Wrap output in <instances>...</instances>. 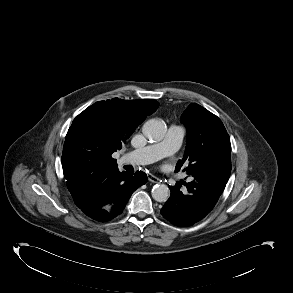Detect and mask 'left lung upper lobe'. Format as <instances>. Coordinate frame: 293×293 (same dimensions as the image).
<instances>
[{
    "mask_svg": "<svg viewBox=\"0 0 293 293\" xmlns=\"http://www.w3.org/2000/svg\"><path fill=\"white\" fill-rule=\"evenodd\" d=\"M187 126V147L176 169L180 170L186 160L185 170L195 177L210 176L212 179L228 181L231 173V144L221 120L207 109L190 104L181 116Z\"/></svg>",
    "mask_w": 293,
    "mask_h": 293,
    "instance_id": "5c2ea615",
    "label": "left lung upper lobe"
}]
</instances>
